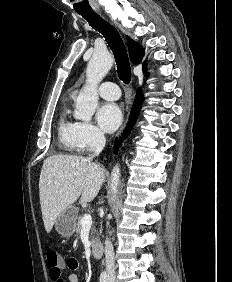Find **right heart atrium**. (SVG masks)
I'll return each mask as SVG.
<instances>
[{
	"label": "right heart atrium",
	"instance_id": "1",
	"mask_svg": "<svg viewBox=\"0 0 232 282\" xmlns=\"http://www.w3.org/2000/svg\"><path fill=\"white\" fill-rule=\"evenodd\" d=\"M76 141L80 150L90 151L103 143L104 135L90 122H77Z\"/></svg>",
	"mask_w": 232,
	"mask_h": 282
}]
</instances>
